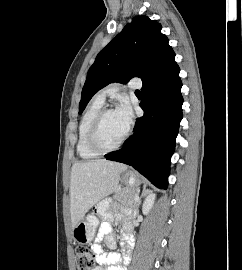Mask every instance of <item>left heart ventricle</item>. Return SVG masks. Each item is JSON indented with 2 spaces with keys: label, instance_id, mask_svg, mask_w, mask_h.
<instances>
[{
  "label": "left heart ventricle",
  "instance_id": "b2bd125f",
  "mask_svg": "<svg viewBox=\"0 0 242 270\" xmlns=\"http://www.w3.org/2000/svg\"><path fill=\"white\" fill-rule=\"evenodd\" d=\"M126 130L117 111L111 112L102 122L98 136L99 142L105 147H111L123 137Z\"/></svg>",
  "mask_w": 242,
  "mask_h": 270
}]
</instances>
